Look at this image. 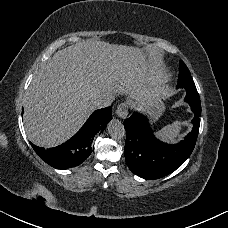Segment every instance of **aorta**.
<instances>
[{"mask_svg": "<svg viewBox=\"0 0 228 228\" xmlns=\"http://www.w3.org/2000/svg\"><path fill=\"white\" fill-rule=\"evenodd\" d=\"M107 128L113 139H122L125 136V128L122 122L117 119L111 120Z\"/></svg>", "mask_w": 228, "mask_h": 228, "instance_id": "1", "label": "aorta"}]
</instances>
